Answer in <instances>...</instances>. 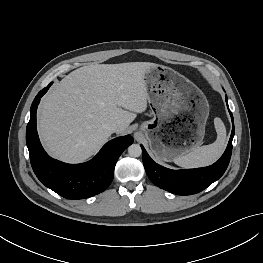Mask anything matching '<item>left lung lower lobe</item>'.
Returning <instances> with one entry per match:
<instances>
[{"label":"left lung lower lobe","instance_id":"left-lung-lower-lobe-1","mask_svg":"<svg viewBox=\"0 0 263 263\" xmlns=\"http://www.w3.org/2000/svg\"><path fill=\"white\" fill-rule=\"evenodd\" d=\"M225 99L227 102V97ZM229 112L233 122L232 113L230 110ZM233 136L234 125L228 146L221 158L211 166L196 169L171 170L160 166L150 158L141 145L146 173L155 185L173 194L192 195L198 193L218 180L226 171L231 158Z\"/></svg>","mask_w":263,"mask_h":263}]
</instances>
